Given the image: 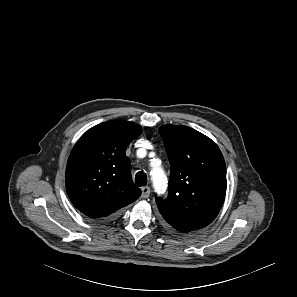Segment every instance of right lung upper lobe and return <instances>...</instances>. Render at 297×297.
Here are the masks:
<instances>
[{
	"mask_svg": "<svg viewBox=\"0 0 297 297\" xmlns=\"http://www.w3.org/2000/svg\"><path fill=\"white\" fill-rule=\"evenodd\" d=\"M140 125L114 120L89 129L75 144L66 167V190L73 205L91 218H107L137 200L126 156Z\"/></svg>",
	"mask_w": 297,
	"mask_h": 297,
	"instance_id": "right-lung-upper-lobe-1",
	"label": "right lung upper lobe"
}]
</instances>
